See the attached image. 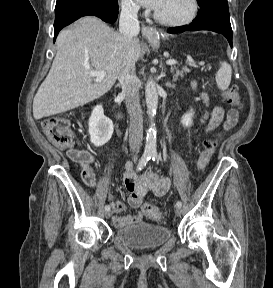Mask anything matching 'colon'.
<instances>
[{
	"mask_svg": "<svg viewBox=\"0 0 273 288\" xmlns=\"http://www.w3.org/2000/svg\"><path fill=\"white\" fill-rule=\"evenodd\" d=\"M222 95L230 104L237 105L240 102V96L236 87L228 88L222 93ZM42 128L49 141L60 149H68L75 142V135L71 130L70 123L64 117H48L43 120ZM217 146L218 139L207 140L204 142V148L197 163L199 169L203 170L208 165ZM142 211L147 217L157 223L164 220L162 212L150 203L143 204Z\"/></svg>",
	"mask_w": 273,
	"mask_h": 288,
	"instance_id": "5ec220e1",
	"label": "colon"
}]
</instances>
